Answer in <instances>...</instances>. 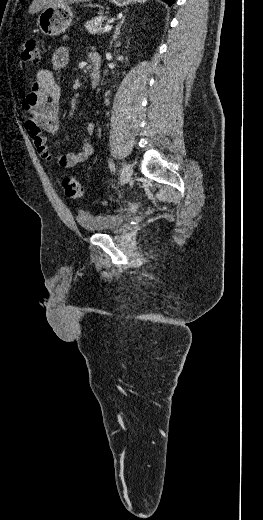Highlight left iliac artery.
Instances as JSON below:
<instances>
[{
  "label": "left iliac artery",
  "instance_id": "left-iliac-artery-1",
  "mask_svg": "<svg viewBox=\"0 0 263 520\" xmlns=\"http://www.w3.org/2000/svg\"><path fill=\"white\" fill-rule=\"evenodd\" d=\"M109 168H110L111 172H115V164L113 161L109 162Z\"/></svg>",
  "mask_w": 263,
  "mask_h": 520
}]
</instances>
